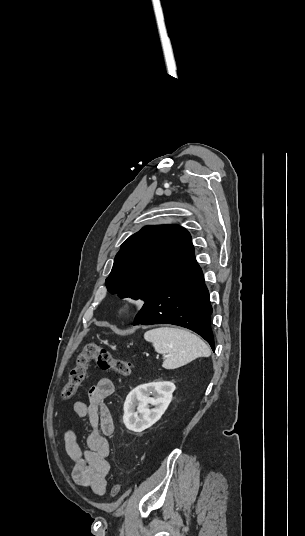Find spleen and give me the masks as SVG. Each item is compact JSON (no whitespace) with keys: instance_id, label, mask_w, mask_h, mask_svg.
Returning a JSON list of instances; mask_svg holds the SVG:
<instances>
[{"instance_id":"1","label":"spleen","mask_w":305,"mask_h":536,"mask_svg":"<svg viewBox=\"0 0 305 536\" xmlns=\"http://www.w3.org/2000/svg\"><path fill=\"white\" fill-rule=\"evenodd\" d=\"M144 340L152 342L155 352L168 354L163 362L165 370L186 366L196 358H208L210 348L189 330L179 328H155L145 332Z\"/></svg>"}]
</instances>
